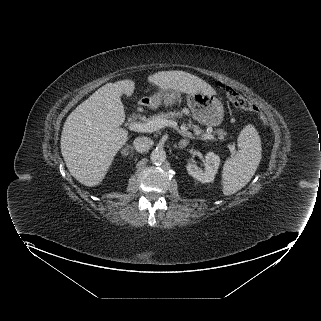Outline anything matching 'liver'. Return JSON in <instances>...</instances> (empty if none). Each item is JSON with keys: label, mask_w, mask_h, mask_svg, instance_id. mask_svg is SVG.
<instances>
[{"label": "liver", "mask_w": 321, "mask_h": 321, "mask_svg": "<svg viewBox=\"0 0 321 321\" xmlns=\"http://www.w3.org/2000/svg\"><path fill=\"white\" fill-rule=\"evenodd\" d=\"M148 82L162 90L215 94L207 82L184 71H160L148 76ZM134 89L135 82L129 79L107 83L67 117L61 153L69 172L81 184H100L115 155L128 141V132L120 127L125 121L121 96L130 97Z\"/></svg>", "instance_id": "1"}]
</instances>
